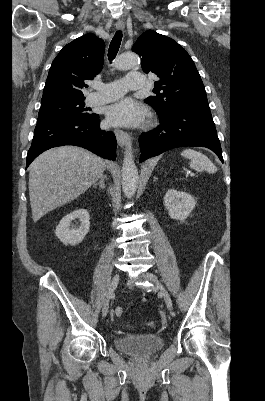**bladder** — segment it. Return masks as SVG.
<instances>
[{"instance_id": "obj_1", "label": "bladder", "mask_w": 265, "mask_h": 401, "mask_svg": "<svg viewBox=\"0 0 265 401\" xmlns=\"http://www.w3.org/2000/svg\"><path fill=\"white\" fill-rule=\"evenodd\" d=\"M118 351H123L132 357L144 359L152 357L164 345V339L159 336L137 335L114 340Z\"/></svg>"}]
</instances>
